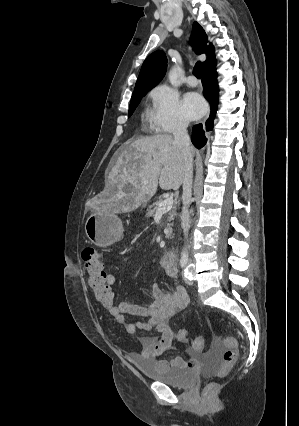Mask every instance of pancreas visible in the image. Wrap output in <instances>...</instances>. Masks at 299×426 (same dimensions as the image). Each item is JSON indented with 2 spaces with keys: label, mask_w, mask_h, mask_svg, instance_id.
Returning <instances> with one entry per match:
<instances>
[{
  "label": "pancreas",
  "mask_w": 299,
  "mask_h": 426,
  "mask_svg": "<svg viewBox=\"0 0 299 426\" xmlns=\"http://www.w3.org/2000/svg\"><path fill=\"white\" fill-rule=\"evenodd\" d=\"M163 201H164L163 199H159L158 201L153 202L152 206L148 209L147 216L148 217L155 216V214L157 213V210L159 208V204L162 203ZM167 214H168L167 218H168V221H169V223L167 224V227L171 231V226L173 225L172 221L174 219V215L176 214L174 208L167 211ZM167 237L168 238L171 237V232H169L167 234Z\"/></svg>",
  "instance_id": "cf45deb5"
}]
</instances>
